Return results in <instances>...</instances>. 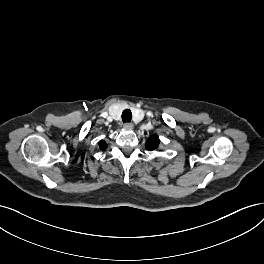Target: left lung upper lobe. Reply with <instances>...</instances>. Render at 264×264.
Returning a JSON list of instances; mask_svg holds the SVG:
<instances>
[{
	"mask_svg": "<svg viewBox=\"0 0 264 264\" xmlns=\"http://www.w3.org/2000/svg\"><path fill=\"white\" fill-rule=\"evenodd\" d=\"M160 140L157 135H152L146 142L145 147L147 150H156L159 146Z\"/></svg>",
	"mask_w": 264,
	"mask_h": 264,
	"instance_id": "1",
	"label": "left lung upper lobe"
}]
</instances>
